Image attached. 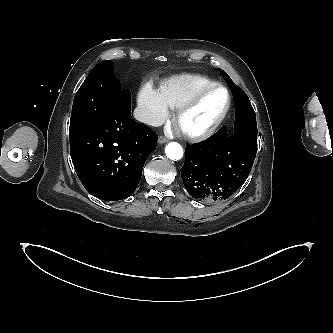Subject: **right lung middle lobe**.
Listing matches in <instances>:
<instances>
[{"instance_id":"obj_1","label":"right lung middle lobe","mask_w":333,"mask_h":333,"mask_svg":"<svg viewBox=\"0 0 333 333\" xmlns=\"http://www.w3.org/2000/svg\"><path fill=\"white\" fill-rule=\"evenodd\" d=\"M123 90L113 77L110 60L97 64L77 91L70 119L69 140L92 128Z\"/></svg>"}]
</instances>
